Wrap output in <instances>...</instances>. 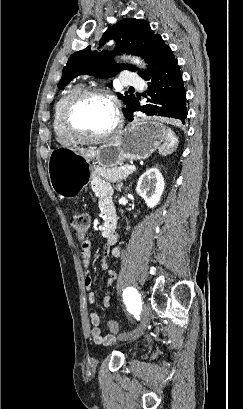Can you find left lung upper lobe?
Segmentation results:
<instances>
[{"label": "left lung upper lobe", "instance_id": "left-lung-upper-lobe-1", "mask_svg": "<svg viewBox=\"0 0 243 409\" xmlns=\"http://www.w3.org/2000/svg\"><path fill=\"white\" fill-rule=\"evenodd\" d=\"M110 39L116 41L113 54L106 51L91 53L90 46L73 53L63 68L62 78L58 83L59 88H63L80 74L93 75L99 78H109L116 75L122 69L134 71L130 64H116L111 56L117 53H131L138 55L148 63L151 76L170 64L175 58L170 47L165 44L162 37L151 30L147 21L135 18L123 19L117 24L108 28L101 42ZM146 79L144 73H139ZM118 96L126 105L129 111L136 101L133 95Z\"/></svg>", "mask_w": 243, "mask_h": 409}]
</instances>
